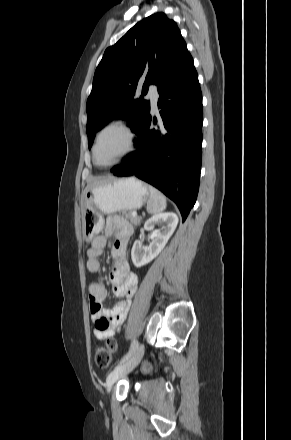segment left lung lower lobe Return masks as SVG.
Segmentation results:
<instances>
[{
	"mask_svg": "<svg viewBox=\"0 0 291 440\" xmlns=\"http://www.w3.org/2000/svg\"><path fill=\"white\" fill-rule=\"evenodd\" d=\"M157 87L161 127H151L149 110L134 139L136 151L111 172L152 184L176 203L185 221L199 189L203 123L201 89L189 52Z\"/></svg>",
	"mask_w": 291,
	"mask_h": 440,
	"instance_id": "0a47b994",
	"label": "left lung lower lobe"
}]
</instances>
